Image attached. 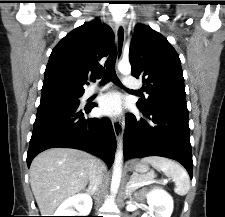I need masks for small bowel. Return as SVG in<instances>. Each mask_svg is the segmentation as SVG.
Listing matches in <instances>:
<instances>
[{"label": "small bowel", "instance_id": "small-bowel-1", "mask_svg": "<svg viewBox=\"0 0 225 217\" xmlns=\"http://www.w3.org/2000/svg\"><path fill=\"white\" fill-rule=\"evenodd\" d=\"M145 193H146V192L144 191V192H142V193L139 195V199H140V200H142V199H143V197H144Z\"/></svg>", "mask_w": 225, "mask_h": 217}]
</instances>
